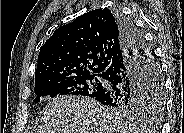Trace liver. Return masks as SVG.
<instances>
[{
	"label": "liver",
	"mask_w": 184,
	"mask_h": 133,
	"mask_svg": "<svg viewBox=\"0 0 184 133\" xmlns=\"http://www.w3.org/2000/svg\"><path fill=\"white\" fill-rule=\"evenodd\" d=\"M37 133H143L134 124L116 117L95 99L65 95L43 110Z\"/></svg>",
	"instance_id": "obj_1"
}]
</instances>
